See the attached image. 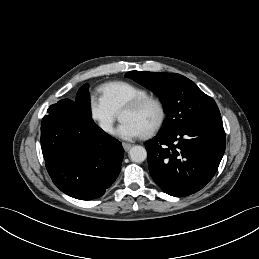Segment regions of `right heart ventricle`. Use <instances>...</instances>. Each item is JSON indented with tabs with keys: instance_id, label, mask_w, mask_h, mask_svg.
<instances>
[{
	"instance_id": "obj_1",
	"label": "right heart ventricle",
	"mask_w": 259,
	"mask_h": 259,
	"mask_svg": "<svg viewBox=\"0 0 259 259\" xmlns=\"http://www.w3.org/2000/svg\"><path fill=\"white\" fill-rule=\"evenodd\" d=\"M102 97L115 112H120L128 102L148 96L147 90L126 81H112L101 86Z\"/></svg>"
}]
</instances>
